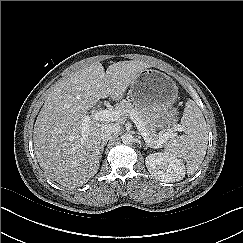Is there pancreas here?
I'll use <instances>...</instances> for the list:
<instances>
[{
    "label": "pancreas",
    "mask_w": 243,
    "mask_h": 243,
    "mask_svg": "<svg viewBox=\"0 0 243 243\" xmlns=\"http://www.w3.org/2000/svg\"><path fill=\"white\" fill-rule=\"evenodd\" d=\"M118 108L123 112L124 116H128L129 113L133 110L136 112L137 116L141 119L144 124V128L149 135V138L154 141H159L161 134H157L154 122L151 118V115L148 111L137 107L132 104L130 101L123 100L119 103Z\"/></svg>",
    "instance_id": "1"
}]
</instances>
